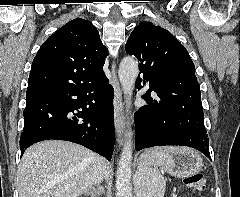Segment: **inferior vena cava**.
<instances>
[{
	"label": "inferior vena cava",
	"instance_id": "602c4592",
	"mask_svg": "<svg viewBox=\"0 0 240 197\" xmlns=\"http://www.w3.org/2000/svg\"><path fill=\"white\" fill-rule=\"evenodd\" d=\"M97 172H96V176L94 178V185H96L97 187H100V183L103 180V178L106 176V163L104 158L99 157L98 159V163H97Z\"/></svg>",
	"mask_w": 240,
	"mask_h": 197
}]
</instances>
